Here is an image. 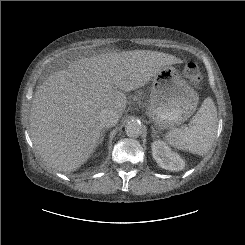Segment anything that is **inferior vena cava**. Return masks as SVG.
Returning a JSON list of instances; mask_svg holds the SVG:
<instances>
[{"mask_svg":"<svg viewBox=\"0 0 245 245\" xmlns=\"http://www.w3.org/2000/svg\"><path fill=\"white\" fill-rule=\"evenodd\" d=\"M119 117V114L111 108L102 109L99 115L100 123L103 127L115 126Z\"/></svg>","mask_w":245,"mask_h":245,"instance_id":"obj_1","label":"inferior vena cava"}]
</instances>
